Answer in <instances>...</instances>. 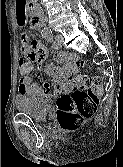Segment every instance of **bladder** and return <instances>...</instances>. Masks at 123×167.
<instances>
[{
  "mask_svg": "<svg viewBox=\"0 0 123 167\" xmlns=\"http://www.w3.org/2000/svg\"><path fill=\"white\" fill-rule=\"evenodd\" d=\"M15 105L21 114L36 121H45L51 110V100L46 96H17Z\"/></svg>",
  "mask_w": 123,
  "mask_h": 167,
  "instance_id": "bladder-1",
  "label": "bladder"
}]
</instances>
